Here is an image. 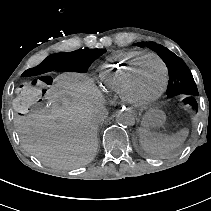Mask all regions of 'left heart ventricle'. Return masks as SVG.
<instances>
[{"label":"left heart ventricle","mask_w":211,"mask_h":211,"mask_svg":"<svg viewBox=\"0 0 211 211\" xmlns=\"http://www.w3.org/2000/svg\"><path fill=\"white\" fill-rule=\"evenodd\" d=\"M163 72L154 59L145 60L139 67L134 81L135 93L144 99L154 96L161 88Z\"/></svg>","instance_id":"obj_1"}]
</instances>
